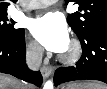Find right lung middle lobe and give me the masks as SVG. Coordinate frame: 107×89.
Returning <instances> with one entry per match:
<instances>
[{"instance_id": "obj_1", "label": "right lung middle lobe", "mask_w": 107, "mask_h": 89, "mask_svg": "<svg viewBox=\"0 0 107 89\" xmlns=\"http://www.w3.org/2000/svg\"><path fill=\"white\" fill-rule=\"evenodd\" d=\"M7 13L0 14V38L11 41L18 38L24 29L14 28V22H7Z\"/></svg>"}]
</instances>
